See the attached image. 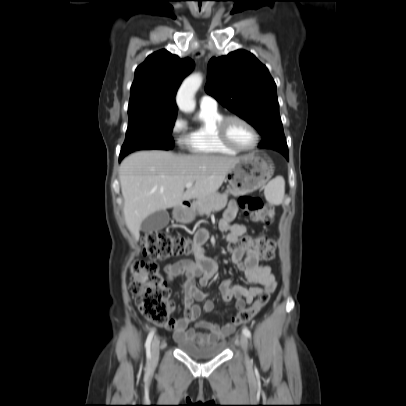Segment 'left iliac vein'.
<instances>
[{"mask_svg":"<svg viewBox=\"0 0 406 406\" xmlns=\"http://www.w3.org/2000/svg\"><path fill=\"white\" fill-rule=\"evenodd\" d=\"M240 346L244 352V359L247 363L250 362L249 356H248V339L245 335L240 336L239 340Z\"/></svg>","mask_w":406,"mask_h":406,"instance_id":"left-iliac-vein-1","label":"left iliac vein"}]
</instances>
